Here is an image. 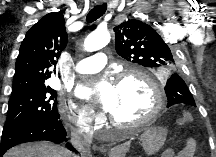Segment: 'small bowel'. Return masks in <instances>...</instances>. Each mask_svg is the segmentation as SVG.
<instances>
[{"mask_svg": "<svg viewBox=\"0 0 216 157\" xmlns=\"http://www.w3.org/2000/svg\"><path fill=\"white\" fill-rule=\"evenodd\" d=\"M196 146L197 144L194 139H188L185 146L177 153V157H193L196 151ZM164 155L165 157H172L174 155V151L172 149H168Z\"/></svg>", "mask_w": 216, "mask_h": 157, "instance_id": "obj_1", "label": "small bowel"}]
</instances>
